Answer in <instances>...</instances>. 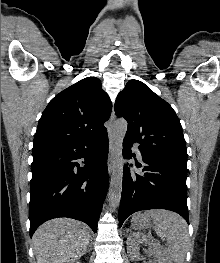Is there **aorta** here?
Wrapping results in <instances>:
<instances>
[{"mask_svg": "<svg viewBox=\"0 0 220 263\" xmlns=\"http://www.w3.org/2000/svg\"><path fill=\"white\" fill-rule=\"evenodd\" d=\"M127 122L118 119L113 125V137L115 141V163L112 170L110 188L108 193L109 205L116 209L121 200L123 182V140L127 131Z\"/></svg>", "mask_w": 220, "mask_h": 263, "instance_id": "1", "label": "aorta"}]
</instances>
